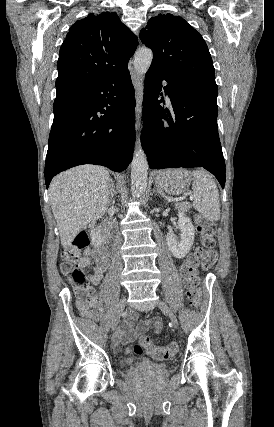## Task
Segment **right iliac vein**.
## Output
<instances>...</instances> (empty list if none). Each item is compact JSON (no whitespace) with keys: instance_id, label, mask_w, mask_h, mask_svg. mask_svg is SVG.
I'll use <instances>...</instances> for the list:
<instances>
[{"instance_id":"1","label":"right iliac vein","mask_w":274,"mask_h":427,"mask_svg":"<svg viewBox=\"0 0 274 427\" xmlns=\"http://www.w3.org/2000/svg\"><path fill=\"white\" fill-rule=\"evenodd\" d=\"M125 306H126V298L124 297V298L121 299V301L118 304L116 315H115V318H114V320L112 322V332H113L112 343L113 344L115 343V340H116L115 331H116V329L118 327V323H119V320H120V318H121V316L123 314Z\"/></svg>"}]
</instances>
